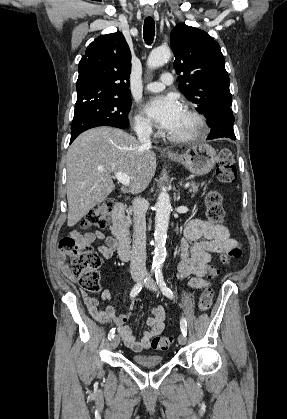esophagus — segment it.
<instances>
[{
    "label": "esophagus",
    "mask_w": 287,
    "mask_h": 419,
    "mask_svg": "<svg viewBox=\"0 0 287 419\" xmlns=\"http://www.w3.org/2000/svg\"><path fill=\"white\" fill-rule=\"evenodd\" d=\"M145 15L146 16H151L152 15V12L151 11H146L145 12ZM167 153H170V151H166Z\"/></svg>",
    "instance_id": "34e87169"
}]
</instances>
